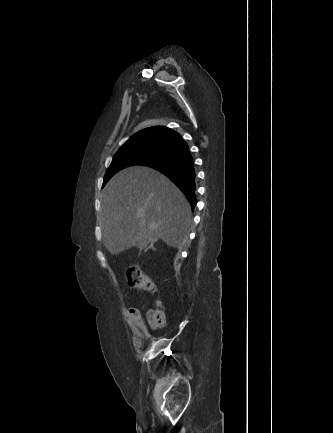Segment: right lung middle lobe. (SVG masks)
Instances as JSON below:
<instances>
[{"instance_id":"right-lung-middle-lobe-1","label":"right lung middle lobe","mask_w":333,"mask_h":433,"mask_svg":"<svg viewBox=\"0 0 333 433\" xmlns=\"http://www.w3.org/2000/svg\"><path fill=\"white\" fill-rule=\"evenodd\" d=\"M171 149L151 142L123 146L115 154L103 181V186L119 170L131 165H144L166 157Z\"/></svg>"}]
</instances>
